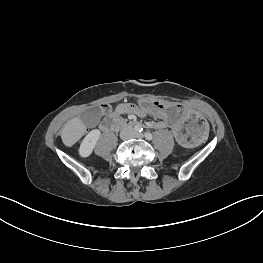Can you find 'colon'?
I'll list each match as a JSON object with an SVG mask.
<instances>
[{
    "label": "colon",
    "instance_id": "5ec220e1",
    "mask_svg": "<svg viewBox=\"0 0 263 263\" xmlns=\"http://www.w3.org/2000/svg\"><path fill=\"white\" fill-rule=\"evenodd\" d=\"M104 111L107 112V111H108V107H105V108H104Z\"/></svg>",
    "mask_w": 263,
    "mask_h": 263
}]
</instances>
